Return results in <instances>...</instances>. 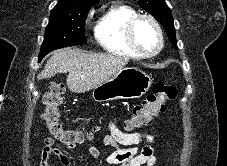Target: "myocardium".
<instances>
[{
	"label": "myocardium",
	"instance_id": "1",
	"mask_svg": "<svg viewBox=\"0 0 227 166\" xmlns=\"http://www.w3.org/2000/svg\"><path fill=\"white\" fill-rule=\"evenodd\" d=\"M141 20H147L149 21L152 26L154 27L157 35H158V46L157 48L152 51V52H145L143 51L139 45L136 42V38H135V27L137 26V24L141 21ZM125 34H126V39L127 42L129 44V46L140 56V57H152L157 55L158 53H160V51L163 49L164 46V36H163V31L158 23V21L152 17L151 15H147V14H137L134 17H132L127 25H126V29H125Z\"/></svg>",
	"mask_w": 227,
	"mask_h": 166
}]
</instances>
